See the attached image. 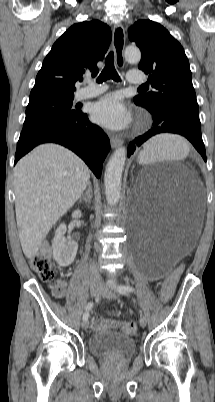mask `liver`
<instances>
[{
	"label": "liver",
	"mask_w": 215,
	"mask_h": 402,
	"mask_svg": "<svg viewBox=\"0 0 215 402\" xmlns=\"http://www.w3.org/2000/svg\"><path fill=\"white\" fill-rule=\"evenodd\" d=\"M90 179L87 165L70 150L42 144L14 169L16 221L24 255L33 258L55 223L82 196Z\"/></svg>",
	"instance_id": "1"
}]
</instances>
